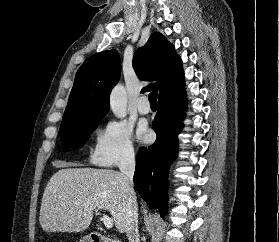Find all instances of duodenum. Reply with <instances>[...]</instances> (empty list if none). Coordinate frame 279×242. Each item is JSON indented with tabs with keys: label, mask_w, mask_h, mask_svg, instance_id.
Segmentation results:
<instances>
[{
	"label": "duodenum",
	"mask_w": 279,
	"mask_h": 242,
	"mask_svg": "<svg viewBox=\"0 0 279 242\" xmlns=\"http://www.w3.org/2000/svg\"><path fill=\"white\" fill-rule=\"evenodd\" d=\"M91 242H120V241L95 233L91 235Z\"/></svg>",
	"instance_id": "1"
}]
</instances>
